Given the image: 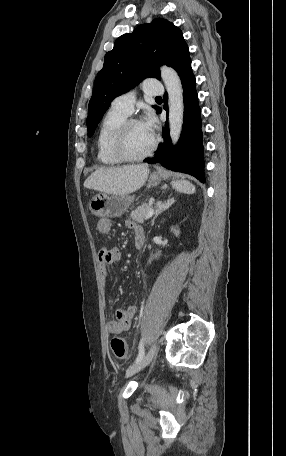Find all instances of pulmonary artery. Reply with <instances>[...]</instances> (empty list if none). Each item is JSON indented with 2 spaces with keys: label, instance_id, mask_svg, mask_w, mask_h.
<instances>
[{
  "label": "pulmonary artery",
  "instance_id": "pulmonary-artery-1",
  "mask_svg": "<svg viewBox=\"0 0 286 456\" xmlns=\"http://www.w3.org/2000/svg\"><path fill=\"white\" fill-rule=\"evenodd\" d=\"M158 84L159 81L156 78H147L144 83V92L150 96L162 95L164 90ZM135 101L136 93L134 90H131L116 97L112 101L111 107L126 115H130L133 112Z\"/></svg>",
  "mask_w": 286,
  "mask_h": 456
}]
</instances>
